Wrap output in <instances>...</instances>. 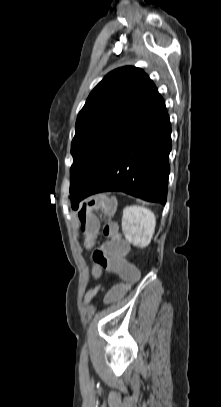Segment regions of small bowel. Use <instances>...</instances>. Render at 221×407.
I'll use <instances>...</instances> for the list:
<instances>
[{
	"label": "small bowel",
	"instance_id": "1",
	"mask_svg": "<svg viewBox=\"0 0 221 407\" xmlns=\"http://www.w3.org/2000/svg\"><path fill=\"white\" fill-rule=\"evenodd\" d=\"M99 288L91 289L85 296V302L90 303L98 292Z\"/></svg>",
	"mask_w": 221,
	"mask_h": 407
}]
</instances>
